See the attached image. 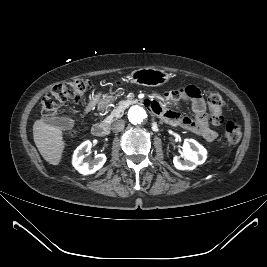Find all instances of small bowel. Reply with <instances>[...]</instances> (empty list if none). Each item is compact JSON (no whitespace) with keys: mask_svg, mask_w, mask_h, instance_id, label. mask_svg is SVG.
I'll list each match as a JSON object with an SVG mask.
<instances>
[{"mask_svg":"<svg viewBox=\"0 0 267 267\" xmlns=\"http://www.w3.org/2000/svg\"><path fill=\"white\" fill-rule=\"evenodd\" d=\"M166 96L170 101L183 100L187 102L191 106L193 117L183 116L160 101L154 100L150 103V108L156 115L173 126L182 127L199 135L206 141L212 142L217 139L218 133L210 126L204 99L196 86H182L169 91Z\"/></svg>","mask_w":267,"mask_h":267,"instance_id":"c3829d8e","label":"small bowel"}]
</instances>
